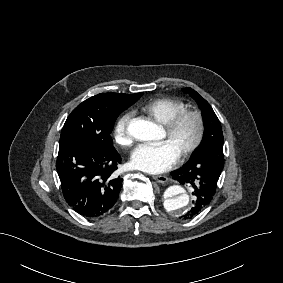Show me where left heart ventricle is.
Instances as JSON below:
<instances>
[{"instance_id":"1","label":"left heart ventricle","mask_w":283,"mask_h":283,"mask_svg":"<svg viewBox=\"0 0 283 283\" xmlns=\"http://www.w3.org/2000/svg\"><path fill=\"white\" fill-rule=\"evenodd\" d=\"M196 134V121L186 118L173 134L169 135L166 130L161 139H166L178 151L179 155L193 141Z\"/></svg>"}]
</instances>
